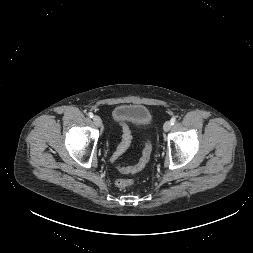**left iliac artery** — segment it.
Here are the masks:
<instances>
[{"label": "left iliac artery", "mask_w": 253, "mask_h": 253, "mask_svg": "<svg viewBox=\"0 0 253 253\" xmlns=\"http://www.w3.org/2000/svg\"><path fill=\"white\" fill-rule=\"evenodd\" d=\"M171 124L174 125V123L176 122V118L173 117L171 120H170Z\"/></svg>", "instance_id": "obj_1"}]
</instances>
